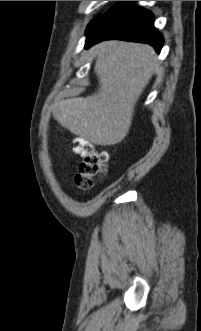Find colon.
<instances>
[{
	"instance_id": "obj_1",
	"label": "colon",
	"mask_w": 201,
	"mask_h": 331,
	"mask_svg": "<svg viewBox=\"0 0 201 331\" xmlns=\"http://www.w3.org/2000/svg\"><path fill=\"white\" fill-rule=\"evenodd\" d=\"M72 148L76 154L81 156V162L74 178L75 183L80 189H89L96 178L105 174L107 154L84 139L74 140Z\"/></svg>"
}]
</instances>
